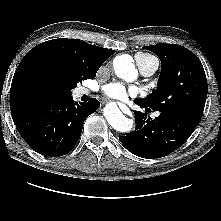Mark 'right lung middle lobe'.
I'll use <instances>...</instances> for the list:
<instances>
[{
  "label": "right lung middle lobe",
  "instance_id": "right-lung-middle-lobe-1",
  "mask_svg": "<svg viewBox=\"0 0 221 221\" xmlns=\"http://www.w3.org/2000/svg\"><path fill=\"white\" fill-rule=\"evenodd\" d=\"M85 77L82 76H78V77H73L71 78V86L70 89H73L77 86L78 82H82V80H84ZM94 78V77H93Z\"/></svg>",
  "mask_w": 221,
  "mask_h": 221
}]
</instances>
